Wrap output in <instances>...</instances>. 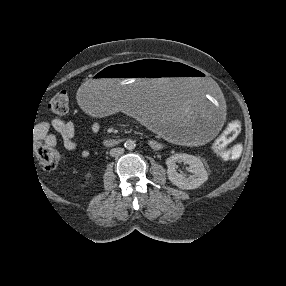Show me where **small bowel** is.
Returning a JSON list of instances; mask_svg holds the SVG:
<instances>
[{
  "instance_id": "c3829d8e",
  "label": "small bowel",
  "mask_w": 286,
  "mask_h": 286,
  "mask_svg": "<svg viewBox=\"0 0 286 286\" xmlns=\"http://www.w3.org/2000/svg\"><path fill=\"white\" fill-rule=\"evenodd\" d=\"M54 131L61 137L63 148L66 151L73 152L78 149L74 136L76 133V127L72 122L64 121L61 119H53L50 122L39 123L34 130V136L38 139H44L46 143L51 146L57 144V136L52 133ZM91 131L97 134L101 131V125L98 122H94L91 125ZM91 155L90 150L81 149L80 156L84 159L89 158ZM241 155V146L233 145L228 152V157L232 160L238 159Z\"/></svg>"
}]
</instances>
